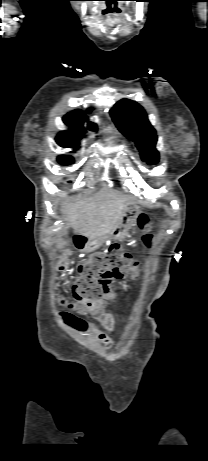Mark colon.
I'll list each match as a JSON object with an SVG mask.
<instances>
[{"label": "colon", "instance_id": "5ec220e1", "mask_svg": "<svg viewBox=\"0 0 208 461\" xmlns=\"http://www.w3.org/2000/svg\"><path fill=\"white\" fill-rule=\"evenodd\" d=\"M137 223L141 230H148L149 222L144 214L138 216ZM136 268L137 262L116 243L107 247L103 253L94 255L79 265L72 286L74 302L68 304V310L62 312V317L68 324L82 329L85 323L72 311L89 313L102 298L106 284L125 276L136 277Z\"/></svg>", "mask_w": 208, "mask_h": 461}]
</instances>
